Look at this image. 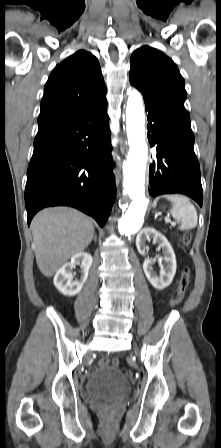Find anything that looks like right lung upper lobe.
Returning a JSON list of instances; mask_svg holds the SVG:
<instances>
[{"instance_id":"1","label":"right lung upper lobe","mask_w":221,"mask_h":448,"mask_svg":"<svg viewBox=\"0 0 221 448\" xmlns=\"http://www.w3.org/2000/svg\"><path fill=\"white\" fill-rule=\"evenodd\" d=\"M106 86L97 58L80 50L58 64L44 88L38 131L82 112L106 99Z\"/></svg>"}]
</instances>
